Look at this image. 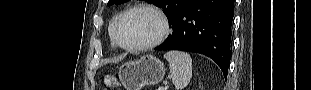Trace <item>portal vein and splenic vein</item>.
<instances>
[{
  "mask_svg": "<svg viewBox=\"0 0 311 90\" xmlns=\"http://www.w3.org/2000/svg\"><path fill=\"white\" fill-rule=\"evenodd\" d=\"M159 90H164V88H159Z\"/></svg>",
  "mask_w": 311,
  "mask_h": 90,
  "instance_id": "18ae733b",
  "label": "portal vein and splenic vein"
}]
</instances>
